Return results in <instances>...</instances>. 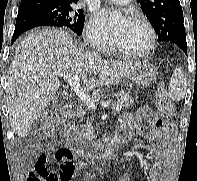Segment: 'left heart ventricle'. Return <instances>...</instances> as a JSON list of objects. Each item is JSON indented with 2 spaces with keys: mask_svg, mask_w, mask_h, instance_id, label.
Wrapping results in <instances>:
<instances>
[{
  "mask_svg": "<svg viewBox=\"0 0 197 181\" xmlns=\"http://www.w3.org/2000/svg\"><path fill=\"white\" fill-rule=\"evenodd\" d=\"M115 39L122 48L132 52H141L149 45L150 35L142 24L128 21Z\"/></svg>",
  "mask_w": 197,
  "mask_h": 181,
  "instance_id": "obj_1",
  "label": "left heart ventricle"
}]
</instances>
